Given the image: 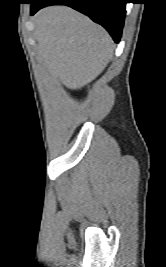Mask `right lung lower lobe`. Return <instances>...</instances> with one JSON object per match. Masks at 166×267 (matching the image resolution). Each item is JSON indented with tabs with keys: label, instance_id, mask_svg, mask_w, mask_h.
I'll use <instances>...</instances> for the list:
<instances>
[{
	"label": "right lung lower lobe",
	"instance_id": "obj_1",
	"mask_svg": "<svg viewBox=\"0 0 166 267\" xmlns=\"http://www.w3.org/2000/svg\"><path fill=\"white\" fill-rule=\"evenodd\" d=\"M126 3V0H33L31 15L48 5H67L101 24L118 43L124 24Z\"/></svg>",
	"mask_w": 166,
	"mask_h": 267
}]
</instances>
